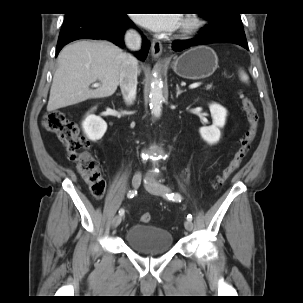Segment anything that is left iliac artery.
<instances>
[{
	"label": "left iliac artery",
	"mask_w": 303,
	"mask_h": 303,
	"mask_svg": "<svg viewBox=\"0 0 303 303\" xmlns=\"http://www.w3.org/2000/svg\"><path fill=\"white\" fill-rule=\"evenodd\" d=\"M167 197L168 199L172 200V201H175V202H181V195L179 193H170V194H167ZM187 220H190L192 221V215L189 214L187 216Z\"/></svg>",
	"instance_id": "obj_1"
}]
</instances>
